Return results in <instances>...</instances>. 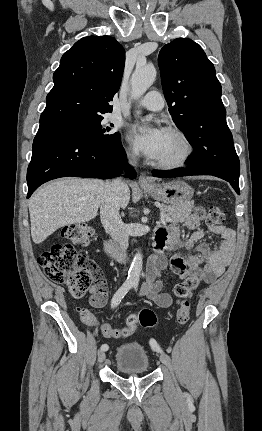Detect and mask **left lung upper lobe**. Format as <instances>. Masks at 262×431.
Returning <instances> with one entry per match:
<instances>
[{"instance_id": "obj_1", "label": "left lung upper lobe", "mask_w": 262, "mask_h": 431, "mask_svg": "<svg viewBox=\"0 0 262 431\" xmlns=\"http://www.w3.org/2000/svg\"><path fill=\"white\" fill-rule=\"evenodd\" d=\"M165 98L173 121L194 148L189 167L239 179L240 163L226 123L214 65L191 39L177 38L159 53Z\"/></svg>"}]
</instances>
